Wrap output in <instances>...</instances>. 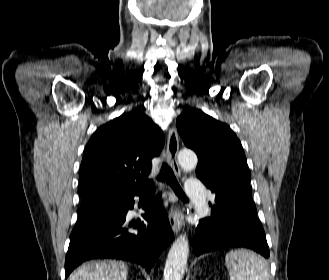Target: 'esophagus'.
Masks as SVG:
<instances>
[{"instance_id":"1","label":"esophagus","mask_w":329,"mask_h":280,"mask_svg":"<svg viewBox=\"0 0 329 280\" xmlns=\"http://www.w3.org/2000/svg\"><path fill=\"white\" fill-rule=\"evenodd\" d=\"M179 149L178 133L174 127L169 129L167 139V159L172 166L177 176L181 175V171L177 161V153ZM169 201L171 203L169 208V222L175 234L179 232L182 226V217L180 216L179 207L176 205V197L172 192L169 193Z\"/></svg>"}]
</instances>
